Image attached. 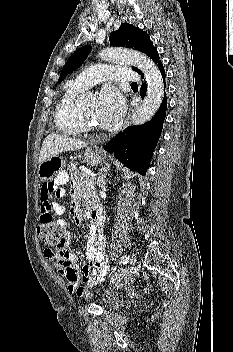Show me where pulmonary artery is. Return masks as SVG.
<instances>
[{
  "label": "pulmonary artery",
  "instance_id": "1",
  "mask_svg": "<svg viewBox=\"0 0 233 352\" xmlns=\"http://www.w3.org/2000/svg\"><path fill=\"white\" fill-rule=\"evenodd\" d=\"M136 82L139 77L128 67L98 64L83 70L73 82L83 89H87L103 81Z\"/></svg>",
  "mask_w": 233,
  "mask_h": 352
}]
</instances>
